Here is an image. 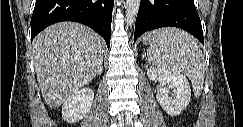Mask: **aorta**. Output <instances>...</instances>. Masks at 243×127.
<instances>
[{"label":"aorta","instance_id":"aorta-1","mask_svg":"<svg viewBox=\"0 0 243 127\" xmlns=\"http://www.w3.org/2000/svg\"><path fill=\"white\" fill-rule=\"evenodd\" d=\"M140 6V0H126V22L127 26H132L136 20Z\"/></svg>","mask_w":243,"mask_h":127}]
</instances>
